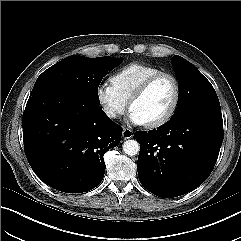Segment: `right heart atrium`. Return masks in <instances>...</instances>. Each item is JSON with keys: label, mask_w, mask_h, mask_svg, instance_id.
I'll return each instance as SVG.
<instances>
[{"label": "right heart atrium", "mask_w": 241, "mask_h": 241, "mask_svg": "<svg viewBox=\"0 0 241 241\" xmlns=\"http://www.w3.org/2000/svg\"><path fill=\"white\" fill-rule=\"evenodd\" d=\"M96 98L103 113L109 119H117L128 109V102L111 83H102L96 89Z\"/></svg>", "instance_id": "right-heart-atrium-1"}]
</instances>
